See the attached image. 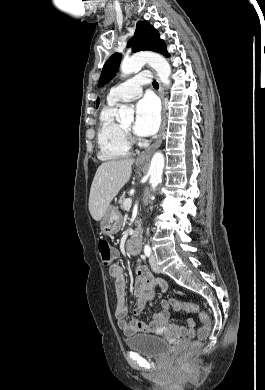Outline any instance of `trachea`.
I'll return each instance as SVG.
<instances>
[{"mask_svg":"<svg viewBox=\"0 0 265 390\" xmlns=\"http://www.w3.org/2000/svg\"><path fill=\"white\" fill-rule=\"evenodd\" d=\"M152 85H153L154 88H158L159 87V85H158V83L156 81H153Z\"/></svg>","mask_w":265,"mask_h":390,"instance_id":"3493384b","label":"trachea"}]
</instances>
